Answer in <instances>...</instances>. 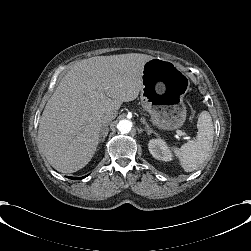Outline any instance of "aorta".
Instances as JSON below:
<instances>
[{
    "instance_id": "obj_1",
    "label": "aorta",
    "mask_w": 251,
    "mask_h": 251,
    "mask_svg": "<svg viewBox=\"0 0 251 251\" xmlns=\"http://www.w3.org/2000/svg\"><path fill=\"white\" fill-rule=\"evenodd\" d=\"M117 128L123 134L129 133L132 128V122L126 119L120 120L117 125Z\"/></svg>"
}]
</instances>
